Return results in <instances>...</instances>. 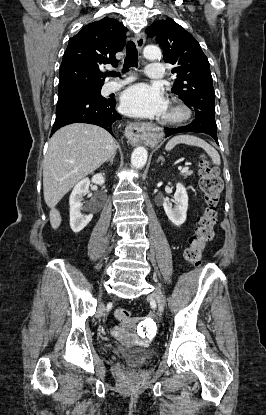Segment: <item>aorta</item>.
<instances>
[{"label":"aorta","instance_id":"aorta-1","mask_svg":"<svg viewBox=\"0 0 266 415\" xmlns=\"http://www.w3.org/2000/svg\"><path fill=\"white\" fill-rule=\"evenodd\" d=\"M144 57L149 60H157L161 58V51L157 46L148 45L143 51ZM148 153L144 147H137L134 149L131 155V164L137 169H141L145 166Z\"/></svg>","mask_w":266,"mask_h":415}]
</instances>
